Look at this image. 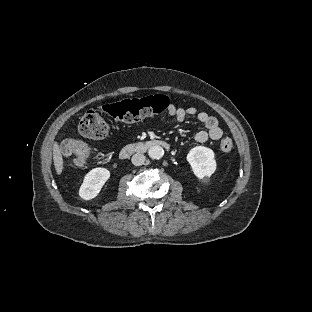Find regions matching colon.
<instances>
[{
	"label": "colon",
	"mask_w": 312,
	"mask_h": 312,
	"mask_svg": "<svg viewBox=\"0 0 312 312\" xmlns=\"http://www.w3.org/2000/svg\"><path fill=\"white\" fill-rule=\"evenodd\" d=\"M168 106V97L160 94L118 101L105 106L103 109L85 112L79 120L77 130L83 137L103 139L110 130L107 119L118 124H132L148 117L157 116ZM233 146L234 142L231 138H224L220 143V150L221 152H229ZM61 149L78 166H84L90 155V148L82 141L74 138L66 139Z\"/></svg>",
	"instance_id": "colon-1"
}]
</instances>
